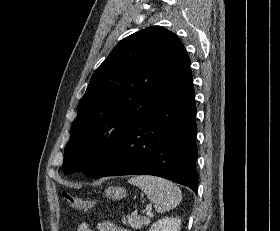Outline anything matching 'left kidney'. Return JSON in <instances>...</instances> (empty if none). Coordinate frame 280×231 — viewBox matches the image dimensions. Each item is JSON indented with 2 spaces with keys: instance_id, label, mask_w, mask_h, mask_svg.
<instances>
[{
  "instance_id": "left-kidney-1",
  "label": "left kidney",
  "mask_w": 280,
  "mask_h": 231,
  "mask_svg": "<svg viewBox=\"0 0 280 231\" xmlns=\"http://www.w3.org/2000/svg\"><path fill=\"white\" fill-rule=\"evenodd\" d=\"M181 219L179 217H163L151 225L149 231H180Z\"/></svg>"
}]
</instances>
